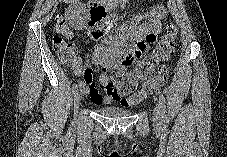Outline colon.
<instances>
[{
    "label": "colon",
    "instance_id": "5ec220e1",
    "mask_svg": "<svg viewBox=\"0 0 227 157\" xmlns=\"http://www.w3.org/2000/svg\"><path fill=\"white\" fill-rule=\"evenodd\" d=\"M54 33L53 48L58 61L66 65L73 64L78 59L77 49L73 43L66 41V39H71L73 37V31L62 16H59L56 19ZM100 33L103 34L102 32ZM176 35V26L174 24H169L166 32L156 41L153 51L139 63L136 68V73L145 77L159 64V62L167 59L174 51ZM87 77L92 78V71L90 68ZM166 77L167 67L165 65H160L158 70L136 91L122 99V104L124 106H132L142 102L162 86ZM111 81L114 88L123 96L132 90L131 81L127 74H115L111 77Z\"/></svg>",
    "mask_w": 227,
    "mask_h": 157
}]
</instances>
